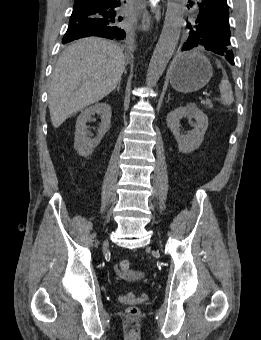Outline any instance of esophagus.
Here are the masks:
<instances>
[{
    "label": "esophagus",
    "mask_w": 261,
    "mask_h": 340,
    "mask_svg": "<svg viewBox=\"0 0 261 340\" xmlns=\"http://www.w3.org/2000/svg\"><path fill=\"white\" fill-rule=\"evenodd\" d=\"M150 26H151V18L148 15V13H145L143 16V21H142V30L148 31Z\"/></svg>",
    "instance_id": "1"
}]
</instances>
